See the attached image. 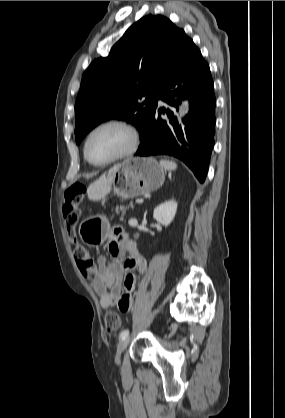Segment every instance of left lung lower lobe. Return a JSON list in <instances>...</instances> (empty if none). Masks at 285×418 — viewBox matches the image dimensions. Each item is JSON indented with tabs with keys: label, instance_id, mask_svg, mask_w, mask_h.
<instances>
[{
	"label": "left lung lower lobe",
	"instance_id": "obj_1",
	"mask_svg": "<svg viewBox=\"0 0 285 418\" xmlns=\"http://www.w3.org/2000/svg\"><path fill=\"white\" fill-rule=\"evenodd\" d=\"M189 95V113L178 125L173 110ZM171 106L160 108L152 116L149 129L136 156L170 155L182 160L203 183L214 146L215 94L210 68L186 34L177 55L166 72L157 97ZM166 113L169 122L158 114Z\"/></svg>",
	"mask_w": 285,
	"mask_h": 418
}]
</instances>
